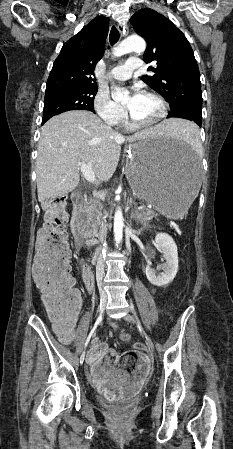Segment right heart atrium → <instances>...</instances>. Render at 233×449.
Instances as JSON below:
<instances>
[{"instance_id": "right-heart-atrium-1", "label": "right heart atrium", "mask_w": 233, "mask_h": 449, "mask_svg": "<svg viewBox=\"0 0 233 449\" xmlns=\"http://www.w3.org/2000/svg\"><path fill=\"white\" fill-rule=\"evenodd\" d=\"M93 107L98 116L110 126L118 125L126 117L124 107L114 101L106 90L97 91Z\"/></svg>"}]
</instances>
